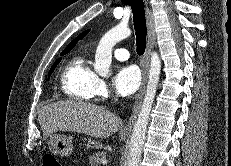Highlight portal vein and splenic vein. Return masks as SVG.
I'll return each mask as SVG.
<instances>
[{
	"instance_id": "18ae733b",
	"label": "portal vein and splenic vein",
	"mask_w": 231,
	"mask_h": 166,
	"mask_svg": "<svg viewBox=\"0 0 231 166\" xmlns=\"http://www.w3.org/2000/svg\"><path fill=\"white\" fill-rule=\"evenodd\" d=\"M102 164H107V160L106 159L102 160Z\"/></svg>"
}]
</instances>
